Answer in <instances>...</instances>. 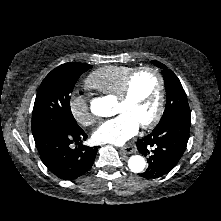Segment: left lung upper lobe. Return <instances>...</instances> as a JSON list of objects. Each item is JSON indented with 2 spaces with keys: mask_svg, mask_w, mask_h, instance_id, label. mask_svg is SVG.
<instances>
[{
  "mask_svg": "<svg viewBox=\"0 0 221 221\" xmlns=\"http://www.w3.org/2000/svg\"><path fill=\"white\" fill-rule=\"evenodd\" d=\"M152 63L163 69L162 74L166 87V107L157 126L163 124L173 116L190 114L187 96L177 76L171 70L167 69L164 64L158 61H152Z\"/></svg>",
  "mask_w": 221,
  "mask_h": 221,
  "instance_id": "left-lung-upper-lobe-1",
  "label": "left lung upper lobe"
}]
</instances>
